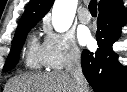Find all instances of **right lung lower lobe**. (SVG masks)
Returning <instances> with one entry per match:
<instances>
[{
	"mask_svg": "<svg viewBox=\"0 0 127 92\" xmlns=\"http://www.w3.org/2000/svg\"><path fill=\"white\" fill-rule=\"evenodd\" d=\"M125 13L122 4L99 9L96 33L99 48L95 53L89 50L82 52V70L95 92H127V68L118 62V56L112 49L126 23Z\"/></svg>",
	"mask_w": 127,
	"mask_h": 92,
	"instance_id": "right-lung-lower-lobe-1",
	"label": "right lung lower lobe"
}]
</instances>
